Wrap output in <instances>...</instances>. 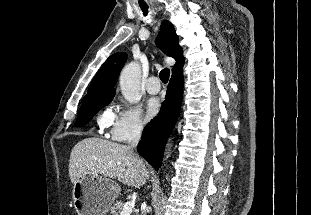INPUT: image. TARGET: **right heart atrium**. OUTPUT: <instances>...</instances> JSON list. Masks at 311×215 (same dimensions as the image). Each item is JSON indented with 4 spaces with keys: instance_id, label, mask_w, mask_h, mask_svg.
I'll return each mask as SVG.
<instances>
[{
    "instance_id": "obj_1",
    "label": "right heart atrium",
    "mask_w": 311,
    "mask_h": 215,
    "mask_svg": "<svg viewBox=\"0 0 311 215\" xmlns=\"http://www.w3.org/2000/svg\"><path fill=\"white\" fill-rule=\"evenodd\" d=\"M99 124L108 129V136L117 142H129L141 137L145 123L140 111L134 106H116L104 112Z\"/></svg>"
}]
</instances>
